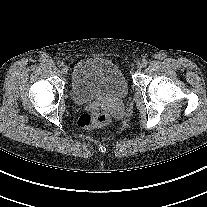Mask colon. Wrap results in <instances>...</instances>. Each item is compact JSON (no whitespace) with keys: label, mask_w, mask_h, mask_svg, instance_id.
<instances>
[{"label":"colon","mask_w":207,"mask_h":207,"mask_svg":"<svg viewBox=\"0 0 207 207\" xmlns=\"http://www.w3.org/2000/svg\"><path fill=\"white\" fill-rule=\"evenodd\" d=\"M111 122V115L103 110L84 112L78 119L77 124L81 128L103 127Z\"/></svg>","instance_id":"obj_1"}]
</instances>
